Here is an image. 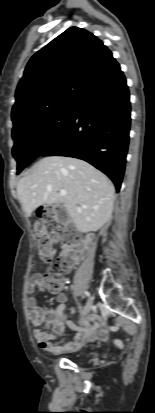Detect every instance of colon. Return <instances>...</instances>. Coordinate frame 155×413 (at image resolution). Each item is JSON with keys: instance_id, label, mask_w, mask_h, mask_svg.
Listing matches in <instances>:
<instances>
[{"instance_id": "1", "label": "colon", "mask_w": 155, "mask_h": 413, "mask_svg": "<svg viewBox=\"0 0 155 413\" xmlns=\"http://www.w3.org/2000/svg\"><path fill=\"white\" fill-rule=\"evenodd\" d=\"M35 214L37 216L35 229L38 235V251L42 261L46 264L53 262L57 243L60 242L64 248L63 253L55 260V266L59 272L47 271L43 278L45 286L50 291L57 292L63 285L60 272H65L70 268L83 248L78 246V237L67 222L66 213L61 206L44 207L40 204ZM56 230L60 232L59 235L55 233Z\"/></svg>"}]
</instances>
